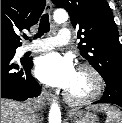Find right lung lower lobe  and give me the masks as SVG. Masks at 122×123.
<instances>
[{"label": "right lung lower lobe", "instance_id": "right-lung-lower-lobe-1", "mask_svg": "<svg viewBox=\"0 0 122 123\" xmlns=\"http://www.w3.org/2000/svg\"><path fill=\"white\" fill-rule=\"evenodd\" d=\"M14 55L10 49H1V98L24 101L37 97L41 88L31 76L32 61L14 63Z\"/></svg>", "mask_w": 122, "mask_h": 123}]
</instances>
